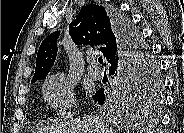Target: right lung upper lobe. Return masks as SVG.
Segmentation results:
<instances>
[{"label": "right lung upper lobe", "instance_id": "cb5924a9", "mask_svg": "<svg viewBox=\"0 0 184 133\" xmlns=\"http://www.w3.org/2000/svg\"><path fill=\"white\" fill-rule=\"evenodd\" d=\"M69 33L76 45L105 46L100 47V50L108 62L116 55L120 46L111 14L101 5L84 6L71 22ZM58 36L59 31H56L41 43L32 81L45 79L50 72L57 55Z\"/></svg>", "mask_w": 184, "mask_h": 133}]
</instances>
